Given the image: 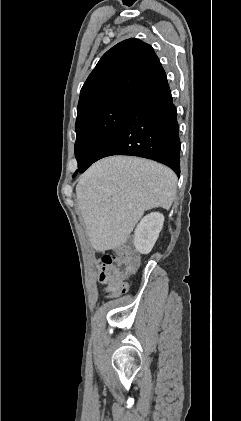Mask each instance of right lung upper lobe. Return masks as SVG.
<instances>
[{
  "label": "right lung upper lobe",
  "instance_id": "right-lung-upper-lobe-1",
  "mask_svg": "<svg viewBox=\"0 0 241 421\" xmlns=\"http://www.w3.org/2000/svg\"><path fill=\"white\" fill-rule=\"evenodd\" d=\"M163 72L149 44L139 39L118 43L101 57L84 83L77 118L116 102L131 101Z\"/></svg>",
  "mask_w": 241,
  "mask_h": 421
}]
</instances>
